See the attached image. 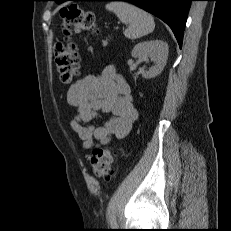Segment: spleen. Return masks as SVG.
<instances>
[{"label":"spleen","instance_id":"1","mask_svg":"<svg viewBox=\"0 0 231 231\" xmlns=\"http://www.w3.org/2000/svg\"><path fill=\"white\" fill-rule=\"evenodd\" d=\"M106 9L113 12L122 23L128 25L124 35L129 39L141 38L153 32L155 28L152 15L129 3L110 2L106 5Z\"/></svg>","mask_w":231,"mask_h":231}]
</instances>
